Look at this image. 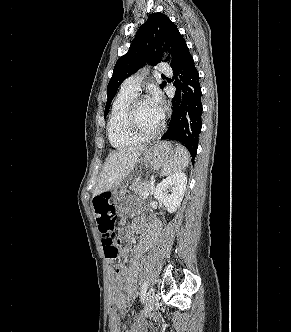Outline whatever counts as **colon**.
Instances as JSON below:
<instances>
[{
	"label": "colon",
	"instance_id": "1",
	"mask_svg": "<svg viewBox=\"0 0 291 332\" xmlns=\"http://www.w3.org/2000/svg\"><path fill=\"white\" fill-rule=\"evenodd\" d=\"M94 208L105 257L114 260L118 257V247L115 242L117 220L115 208L105 194L95 198ZM109 332H120V319L115 312L111 314L109 319Z\"/></svg>",
	"mask_w": 291,
	"mask_h": 332
}]
</instances>
